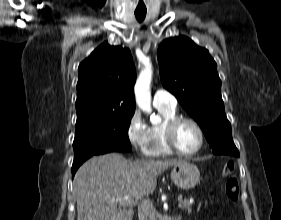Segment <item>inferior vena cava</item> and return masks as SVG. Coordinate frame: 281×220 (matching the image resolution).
Here are the masks:
<instances>
[{"label":"inferior vena cava","mask_w":281,"mask_h":220,"mask_svg":"<svg viewBox=\"0 0 281 220\" xmlns=\"http://www.w3.org/2000/svg\"><path fill=\"white\" fill-rule=\"evenodd\" d=\"M138 217L139 220H156V212L152 200L148 196L140 199Z\"/></svg>","instance_id":"602c4592"}]
</instances>
